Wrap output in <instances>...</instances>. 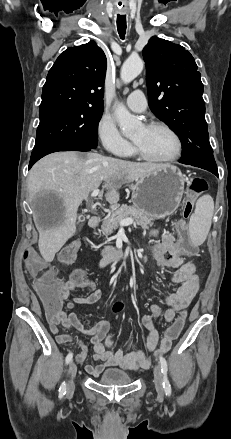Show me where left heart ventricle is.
Here are the masks:
<instances>
[{
	"label": "left heart ventricle",
	"instance_id": "obj_1",
	"mask_svg": "<svg viewBox=\"0 0 231 439\" xmlns=\"http://www.w3.org/2000/svg\"><path fill=\"white\" fill-rule=\"evenodd\" d=\"M132 141L153 158H166L175 150L174 139L163 129L141 127L133 136Z\"/></svg>",
	"mask_w": 231,
	"mask_h": 439
}]
</instances>
